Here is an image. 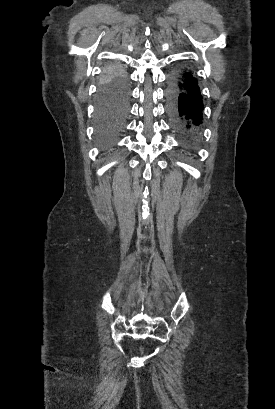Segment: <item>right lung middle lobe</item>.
Masks as SVG:
<instances>
[{
	"label": "right lung middle lobe",
	"mask_w": 275,
	"mask_h": 409,
	"mask_svg": "<svg viewBox=\"0 0 275 409\" xmlns=\"http://www.w3.org/2000/svg\"><path fill=\"white\" fill-rule=\"evenodd\" d=\"M129 85L125 70L116 64L105 68L96 107V135L106 148L123 132L128 115Z\"/></svg>",
	"instance_id": "dd1d6c3e"
}]
</instances>
